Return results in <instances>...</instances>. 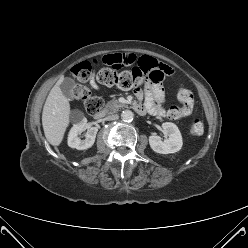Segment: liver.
Masks as SVG:
<instances>
[{
  "label": "liver",
  "mask_w": 248,
  "mask_h": 248,
  "mask_svg": "<svg viewBox=\"0 0 248 248\" xmlns=\"http://www.w3.org/2000/svg\"><path fill=\"white\" fill-rule=\"evenodd\" d=\"M64 77H61L53 86L42 112V125L46 139L53 146L61 144L65 131L70 122L69 100L60 89Z\"/></svg>",
  "instance_id": "liver-1"
}]
</instances>
